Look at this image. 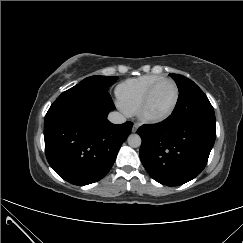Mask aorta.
I'll list each match as a JSON object with an SVG mask.
<instances>
[{
	"label": "aorta",
	"instance_id": "762f6f07",
	"mask_svg": "<svg viewBox=\"0 0 243 243\" xmlns=\"http://www.w3.org/2000/svg\"><path fill=\"white\" fill-rule=\"evenodd\" d=\"M127 142L130 147L137 148L141 145V138L138 134H130Z\"/></svg>",
	"mask_w": 243,
	"mask_h": 243
}]
</instances>
